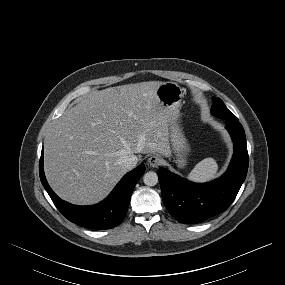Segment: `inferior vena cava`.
<instances>
[{"instance_id":"obj_1","label":"inferior vena cava","mask_w":285,"mask_h":285,"mask_svg":"<svg viewBox=\"0 0 285 285\" xmlns=\"http://www.w3.org/2000/svg\"><path fill=\"white\" fill-rule=\"evenodd\" d=\"M122 162H123V165L125 166V168L130 170L136 166V164L138 162V158L134 154H129V155L123 157Z\"/></svg>"}]
</instances>
